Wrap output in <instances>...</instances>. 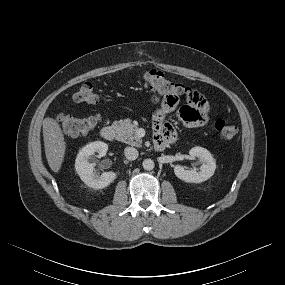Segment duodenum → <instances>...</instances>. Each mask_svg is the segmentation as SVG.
I'll return each mask as SVG.
<instances>
[{
  "mask_svg": "<svg viewBox=\"0 0 285 285\" xmlns=\"http://www.w3.org/2000/svg\"><path fill=\"white\" fill-rule=\"evenodd\" d=\"M116 133H117L116 127H114L112 125L104 126L101 129V136L103 139H105L107 141H113L116 137ZM168 143H169V141L166 138L157 137L154 140V147L156 150L162 151L167 147Z\"/></svg>",
  "mask_w": 285,
  "mask_h": 285,
  "instance_id": "duodenum-1",
  "label": "duodenum"
}]
</instances>
